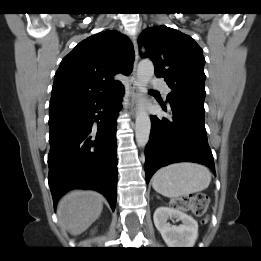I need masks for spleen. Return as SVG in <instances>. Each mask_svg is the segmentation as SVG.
<instances>
[{
    "mask_svg": "<svg viewBox=\"0 0 261 261\" xmlns=\"http://www.w3.org/2000/svg\"><path fill=\"white\" fill-rule=\"evenodd\" d=\"M211 173L203 165L183 162L159 169L153 176L152 186L156 192L168 197L188 196L206 189Z\"/></svg>",
    "mask_w": 261,
    "mask_h": 261,
    "instance_id": "spleen-1",
    "label": "spleen"
}]
</instances>
